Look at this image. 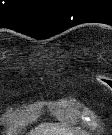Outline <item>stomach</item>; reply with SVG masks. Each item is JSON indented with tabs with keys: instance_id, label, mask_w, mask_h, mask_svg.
<instances>
[{
	"instance_id": "1",
	"label": "stomach",
	"mask_w": 112,
	"mask_h": 135,
	"mask_svg": "<svg viewBox=\"0 0 112 135\" xmlns=\"http://www.w3.org/2000/svg\"><path fill=\"white\" fill-rule=\"evenodd\" d=\"M64 135H82V133L77 131H68L64 133Z\"/></svg>"
}]
</instances>
